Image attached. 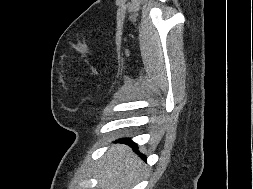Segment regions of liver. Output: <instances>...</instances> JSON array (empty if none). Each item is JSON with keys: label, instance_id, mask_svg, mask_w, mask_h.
Segmentation results:
<instances>
[{"label": "liver", "instance_id": "6515ba94", "mask_svg": "<svg viewBox=\"0 0 253 189\" xmlns=\"http://www.w3.org/2000/svg\"><path fill=\"white\" fill-rule=\"evenodd\" d=\"M142 168L130 148L117 145L108 151L100 165L99 189H130Z\"/></svg>", "mask_w": 253, "mask_h": 189}]
</instances>
